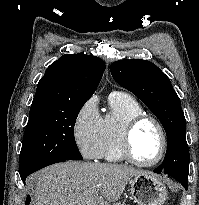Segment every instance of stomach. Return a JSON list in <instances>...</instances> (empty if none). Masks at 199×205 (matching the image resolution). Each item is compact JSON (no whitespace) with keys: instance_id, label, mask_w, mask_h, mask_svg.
<instances>
[{"instance_id":"obj_1","label":"stomach","mask_w":199,"mask_h":205,"mask_svg":"<svg viewBox=\"0 0 199 205\" xmlns=\"http://www.w3.org/2000/svg\"><path fill=\"white\" fill-rule=\"evenodd\" d=\"M130 185L131 197L137 205H162L167 199V189L164 183L148 173L136 175Z\"/></svg>"}]
</instances>
